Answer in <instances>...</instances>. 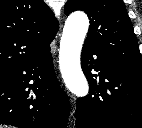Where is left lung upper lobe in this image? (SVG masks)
Listing matches in <instances>:
<instances>
[{"instance_id":"left-lung-upper-lobe-1","label":"left lung upper lobe","mask_w":142,"mask_h":128,"mask_svg":"<svg viewBox=\"0 0 142 128\" xmlns=\"http://www.w3.org/2000/svg\"><path fill=\"white\" fill-rule=\"evenodd\" d=\"M84 11L90 20L85 44L120 66L142 70V55L122 0H68L65 14Z\"/></svg>"}]
</instances>
